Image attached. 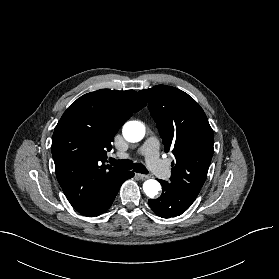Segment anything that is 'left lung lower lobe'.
Wrapping results in <instances>:
<instances>
[{
	"label": "left lung lower lobe",
	"instance_id": "1",
	"mask_svg": "<svg viewBox=\"0 0 279 279\" xmlns=\"http://www.w3.org/2000/svg\"><path fill=\"white\" fill-rule=\"evenodd\" d=\"M163 192L157 199H149L151 209L160 217L170 218L181 215L194 202L198 194L183 191L172 184L159 180Z\"/></svg>",
	"mask_w": 279,
	"mask_h": 279
}]
</instances>
